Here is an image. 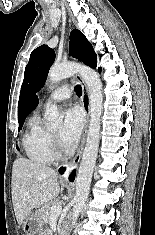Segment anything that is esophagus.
<instances>
[{"label": "esophagus", "mask_w": 155, "mask_h": 235, "mask_svg": "<svg viewBox=\"0 0 155 235\" xmlns=\"http://www.w3.org/2000/svg\"><path fill=\"white\" fill-rule=\"evenodd\" d=\"M76 79L81 83L82 86V108L84 110L85 116H86V122L85 126L83 129V134H82V139L80 146L75 154V156L66 164L67 167V172L65 173L64 176H62V180L67 181V176L71 170L77 167V165L80 162L82 152L84 149L87 133H88V128H89V123H90V116H91V110H90V95H89V90L86 84L83 82L81 79V76L79 74H76Z\"/></svg>", "instance_id": "34e87169"}]
</instances>
